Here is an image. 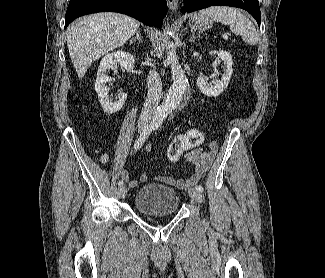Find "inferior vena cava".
I'll return each mask as SVG.
<instances>
[{
  "mask_svg": "<svg viewBox=\"0 0 325 278\" xmlns=\"http://www.w3.org/2000/svg\"><path fill=\"white\" fill-rule=\"evenodd\" d=\"M147 83L148 94L140 114V123H148L151 120L161 99L162 82L156 71L150 70Z\"/></svg>",
  "mask_w": 325,
  "mask_h": 278,
  "instance_id": "1",
  "label": "inferior vena cava"
}]
</instances>
